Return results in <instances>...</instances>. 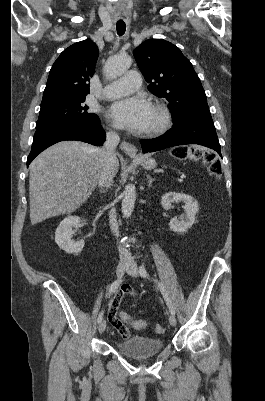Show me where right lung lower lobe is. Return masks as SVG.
Wrapping results in <instances>:
<instances>
[{
  "label": "right lung lower lobe",
  "instance_id": "obj_1",
  "mask_svg": "<svg viewBox=\"0 0 265 401\" xmlns=\"http://www.w3.org/2000/svg\"><path fill=\"white\" fill-rule=\"evenodd\" d=\"M105 131L100 124L83 122L47 123L36 127L32 149L27 159V166L43 150L64 140H79L101 146L105 141Z\"/></svg>",
  "mask_w": 265,
  "mask_h": 401
}]
</instances>
